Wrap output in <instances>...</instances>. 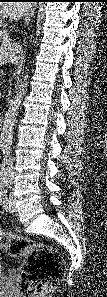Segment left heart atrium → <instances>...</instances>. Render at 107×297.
<instances>
[{
    "instance_id": "1",
    "label": "left heart atrium",
    "mask_w": 107,
    "mask_h": 297,
    "mask_svg": "<svg viewBox=\"0 0 107 297\" xmlns=\"http://www.w3.org/2000/svg\"><path fill=\"white\" fill-rule=\"evenodd\" d=\"M6 13L14 18L23 16L28 11V4L26 3H9L5 7Z\"/></svg>"
}]
</instances>
